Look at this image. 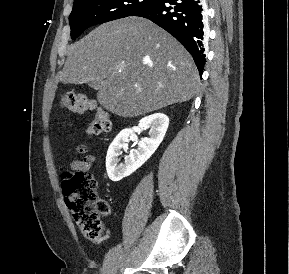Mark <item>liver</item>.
Wrapping results in <instances>:
<instances>
[{"label": "liver", "mask_w": 289, "mask_h": 274, "mask_svg": "<svg viewBox=\"0 0 289 274\" xmlns=\"http://www.w3.org/2000/svg\"><path fill=\"white\" fill-rule=\"evenodd\" d=\"M58 79L95 84L99 104L121 117L189 101L200 82L188 51L151 21L135 16L104 23L70 45Z\"/></svg>", "instance_id": "obj_1"}]
</instances>
